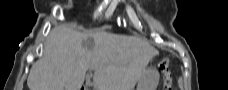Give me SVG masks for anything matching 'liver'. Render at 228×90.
I'll list each match as a JSON object with an SVG mask.
<instances>
[{
  "mask_svg": "<svg viewBox=\"0 0 228 90\" xmlns=\"http://www.w3.org/2000/svg\"><path fill=\"white\" fill-rule=\"evenodd\" d=\"M89 36L92 50L82 44ZM157 54L148 41L136 36L81 33L63 24L51 31L27 85L29 90H80L86 71L92 69L94 90H133Z\"/></svg>",
  "mask_w": 228,
  "mask_h": 90,
  "instance_id": "1",
  "label": "liver"
}]
</instances>
